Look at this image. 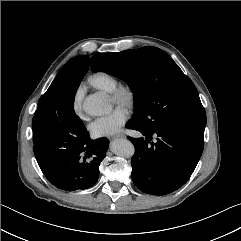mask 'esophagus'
Listing matches in <instances>:
<instances>
[{"label": "esophagus", "mask_w": 241, "mask_h": 241, "mask_svg": "<svg viewBox=\"0 0 241 241\" xmlns=\"http://www.w3.org/2000/svg\"><path fill=\"white\" fill-rule=\"evenodd\" d=\"M123 137H124L123 135H117V136H114L113 139L123 138Z\"/></svg>", "instance_id": "obj_1"}]
</instances>
